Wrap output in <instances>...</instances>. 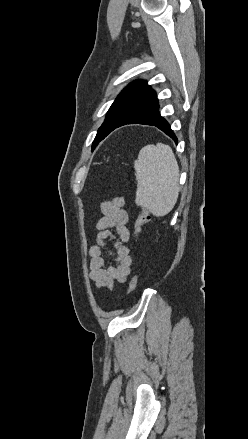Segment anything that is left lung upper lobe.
I'll return each instance as SVG.
<instances>
[{"label":"left lung upper lobe","instance_id":"1","mask_svg":"<svg viewBox=\"0 0 248 439\" xmlns=\"http://www.w3.org/2000/svg\"><path fill=\"white\" fill-rule=\"evenodd\" d=\"M145 81L138 80L130 83L115 99L107 112L106 119L99 128L93 141L92 149L103 140L110 131L127 116L151 91Z\"/></svg>","mask_w":248,"mask_h":439}]
</instances>
